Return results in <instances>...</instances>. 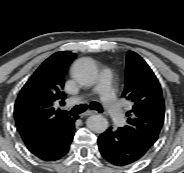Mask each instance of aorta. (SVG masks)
<instances>
[{"mask_svg": "<svg viewBox=\"0 0 184 173\" xmlns=\"http://www.w3.org/2000/svg\"><path fill=\"white\" fill-rule=\"evenodd\" d=\"M75 77L84 86H92L98 78V71L93 61L82 60L74 66ZM87 126L95 133H103L109 127L108 120L101 114H94L87 119Z\"/></svg>", "mask_w": 184, "mask_h": 173, "instance_id": "1", "label": "aorta"}]
</instances>
